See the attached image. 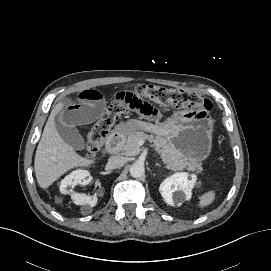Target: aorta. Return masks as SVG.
<instances>
[{
    "mask_svg": "<svg viewBox=\"0 0 271 271\" xmlns=\"http://www.w3.org/2000/svg\"><path fill=\"white\" fill-rule=\"evenodd\" d=\"M145 174V167L140 162H135L130 166V175L134 178H140Z\"/></svg>",
    "mask_w": 271,
    "mask_h": 271,
    "instance_id": "762f6f07",
    "label": "aorta"
}]
</instances>
